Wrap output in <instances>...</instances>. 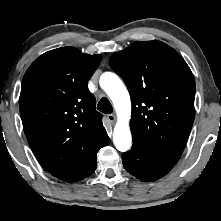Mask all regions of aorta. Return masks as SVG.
<instances>
[{"instance_id": "aorta-1", "label": "aorta", "mask_w": 221, "mask_h": 221, "mask_svg": "<svg viewBox=\"0 0 221 221\" xmlns=\"http://www.w3.org/2000/svg\"><path fill=\"white\" fill-rule=\"evenodd\" d=\"M100 85L112 100L118 121L114 128L113 142L115 147L126 152L132 144V136L129 127L131 116V100L129 93L120 78L111 72L102 74Z\"/></svg>"}]
</instances>
